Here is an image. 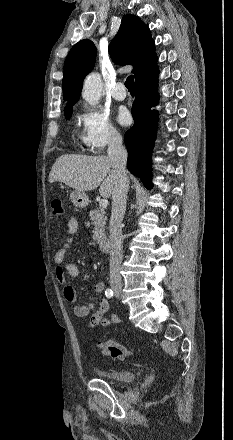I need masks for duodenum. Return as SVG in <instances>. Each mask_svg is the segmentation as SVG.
Wrapping results in <instances>:
<instances>
[{
	"mask_svg": "<svg viewBox=\"0 0 233 440\" xmlns=\"http://www.w3.org/2000/svg\"><path fill=\"white\" fill-rule=\"evenodd\" d=\"M111 242L108 238H100L99 246L103 251H108L110 249Z\"/></svg>",
	"mask_w": 233,
	"mask_h": 440,
	"instance_id": "410a0bca",
	"label": "duodenum"
}]
</instances>
